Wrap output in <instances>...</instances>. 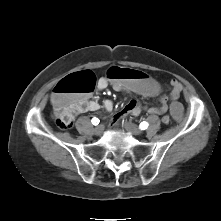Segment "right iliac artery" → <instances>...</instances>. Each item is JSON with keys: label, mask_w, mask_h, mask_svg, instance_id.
I'll return each instance as SVG.
<instances>
[{"label": "right iliac artery", "mask_w": 221, "mask_h": 221, "mask_svg": "<svg viewBox=\"0 0 221 221\" xmlns=\"http://www.w3.org/2000/svg\"><path fill=\"white\" fill-rule=\"evenodd\" d=\"M91 122H92L93 125H98L99 124V119L94 117Z\"/></svg>", "instance_id": "1"}]
</instances>
